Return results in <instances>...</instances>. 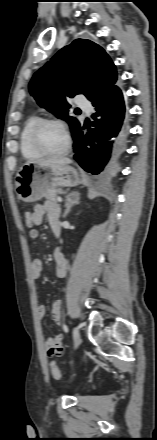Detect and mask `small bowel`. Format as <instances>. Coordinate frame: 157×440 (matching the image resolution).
Returning a JSON list of instances; mask_svg holds the SVG:
<instances>
[{
    "label": "small bowel",
    "mask_w": 157,
    "mask_h": 440,
    "mask_svg": "<svg viewBox=\"0 0 157 440\" xmlns=\"http://www.w3.org/2000/svg\"><path fill=\"white\" fill-rule=\"evenodd\" d=\"M33 215L35 219V227L42 224L45 215L48 218V222L52 230L56 226L59 227L60 208L58 204L53 201H47L43 204L35 205L33 210ZM35 227L29 231V236L31 239H37L39 237V231ZM54 258L56 261L57 274L58 276L62 277L67 272L66 256L60 249H56L54 252ZM31 272L33 278L37 279L40 277L42 272V261L40 259L36 258L32 261ZM45 315H46V308L43 304H40L38 306L39 319L43 320ZM62 315H63V303L61 300H56L52 303L51 306V316L57 325H61ZM62 339L63 336L61 334L53 338L46 339L45 348L50 355H51V350L54 347L61 346L63 348Z\"/></svg>",
    "instance_id": "obj_1"
}]
</instances>
